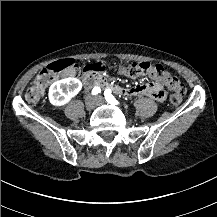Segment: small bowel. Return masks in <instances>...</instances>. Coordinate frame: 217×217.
<instances>
[{"label": "small bowel", "mask_w": 217, "mask_h": 217, "mask_svg": "<svg viewBox=\"0 0 217 217\" xmlns=\"http://www.w3.org/2000/svg\"><path fill=\"white\" fill-rule=\"evenodd\" d=\"M75 73H76V70L73 69L72 71H67L66 75L67 76H72ZM129 89L132 92L130 94L132 96H135V95H147V96H150L151 98L156 99V100H162L164 98L163 91L155 83L140 84V85L133 86V87H131ZM121 94H123V93H121Z\"/></svg>", "instance_id": "small-bowel-1"}]
</instances>
